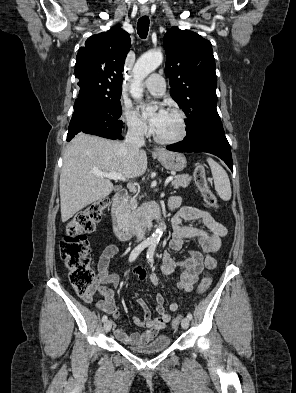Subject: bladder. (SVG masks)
<instances>
[{
	"instance_id": "1",
	"label": "bladder",
	"mask_w": 296,
	"mask_h": 393,
	"mask_svg": "<svg viewBox=\"0 0 296 393\" xmlns=\"http://www.w3.org/2000/svg\"><path fill=\"white\" fill-rule=\"evenodd\" d=\"M170 344L171 338L169 336L159 335L143 347H127V349L138 354H153L164 351L170 346Z\"/></svg>"
}]
</instances>
